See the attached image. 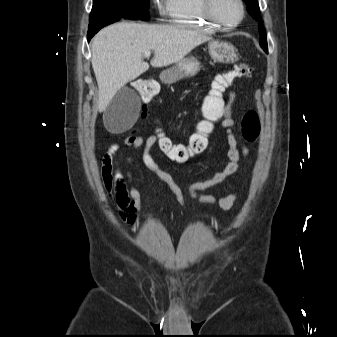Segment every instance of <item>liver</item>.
Listing matches in <instances>:
<instances>
[{
	"label": "liver",
	"instance_id": "1",
	"mask_svg": "<svg viewBox=\"0 0 337 337\" xmlns=\"http://www.w3.org/2000/svg\"><path fill=\"white\" fill-rule=\"evenodd\" d=\"M197 31L172 25L119 22L99 31L92 42V67L99 89L98 109L105 111L116 93L149 69L142 56L153 51L152 67L182 60L210 40Z\"/></svg>",
	"mask_w": 337,
	"mask_h": 337
}]
</instances>
